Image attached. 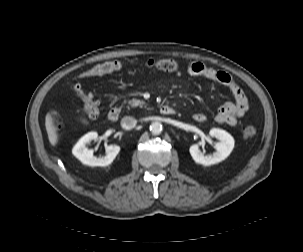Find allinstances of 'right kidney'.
<instances>
[{
	"label": "right kidney",
	"mask_w": 303,
	"mask_h": 252,
	"mask_svg": "<svg viewBox=\"0 0 303 252\" xmlns=\"http://www.w3.org/2000/svg\"><path fill=\"white\" fill-rule=\"evenodd\" d=\"M97 138V132L87 133L76 143L72 149V153L85 165L108 166L113 162L117 154L120 152V147L118 145H109L107 146L106 156L97 158L93 156V150H90L86 147V144L90 143L93 140L96 141Z\"/></svg>",
	"instance_id": "obj_1"
}]
</instances>
